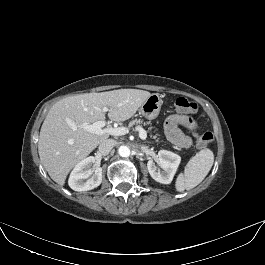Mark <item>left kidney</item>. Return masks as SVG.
Returning <instances> with one entry per match:
<instances>
[{
    "mask_svg": "<svg viewBox=\"0 0 265 265\" xmlns=\"http://www.w3.org/2000/svg\"><path fill=\"white\" fill-rule=\"evenodd\" d=\"M181 157L167 150H160L157 155V163L162 168L155 166L153 160L147 163L150 176L161 184H170L180 164Z\"/></svg>",
    "mask_w": 265,
    "mask_h": 265,
    "instance_id": "left-kidney-1",
    "label": "left kidney"
}]
</instances>
